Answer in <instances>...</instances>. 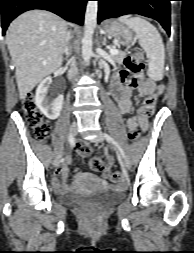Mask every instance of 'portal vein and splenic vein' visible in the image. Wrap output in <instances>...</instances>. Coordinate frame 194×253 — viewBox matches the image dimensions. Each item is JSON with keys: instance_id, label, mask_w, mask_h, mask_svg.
<instances>
[{"instance_id": "portal-vein-and-splenic-vein-1", "label": "portal vein and splenic vein", "mask_w": 194, "mask_h": 253, "mask_svg": "<svg viewBox=\"0 0 194 253\" xmlns=\"http://www.w3.org/2000/svg\"><path fill=\"white\" fill-rule=\"evenodd\" d=\"M109 52L111 55H116V54H118L119 51L115 48H111Z\"/></svg>"}]
</instances>
